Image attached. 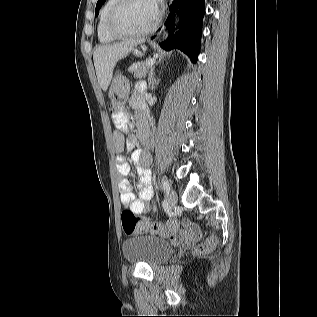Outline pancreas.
I'll use <instances>...</instances> for the list:
<instances>
[{"instance_id": "pancreas-1", "label": "pancreas", "mask_w": 317, "mask_h": 317, "mask_svg": "<svg viewBox=\"0 0 317 317\" xmlns=\"http://www.w3.org/2000/svg\"><path fill=\"white\" fill-rule=\"evenodd\" d=\"M133 65L129 71L134 73L135 78L139 79L145 78L149 69L152 68L149 66V62L141 63L140 61H135Z\"/></svg>"}]
</instances>
